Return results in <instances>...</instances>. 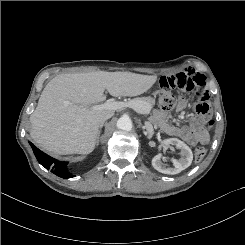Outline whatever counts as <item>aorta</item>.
Masks as SVG:
<instances>
[{"mask_svg": "<svg viewBox=\"0 0 245 245\" xmlns=\"http://www.w3.org/2000/svg\"><path fill=\"white\" fill-rule=\"evenodd\" d=\"M116 126L123 131H130L132 129V121L129 117L123 116L118 119Z\"/></svg>", "mask_w": 245, "mask_h": 245, "instance_id": "aorta-1", "label": "aorta"}]
</instances>
